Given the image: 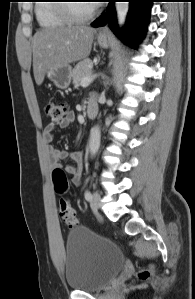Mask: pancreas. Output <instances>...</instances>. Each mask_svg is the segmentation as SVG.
Listing matches in <instances>:
<instances>
[{
    "mask_svg": "<svg viewBox=\"0 0 195 299\" xmlns=\"http://www.w3.org/2000/svg\"><path fill=\"white\" fill-rule=\"evenodd\" d=\"M91 73L92 61L88 58L80 61L72 71L73 84L75 86L81 85L82 79L91 75Z\"/></svg>",
    "mask_w": 195,
    "mask_h": 299,
    "instance_id": "obj_1",
    "label": "pancreas"
}]
</instances>
